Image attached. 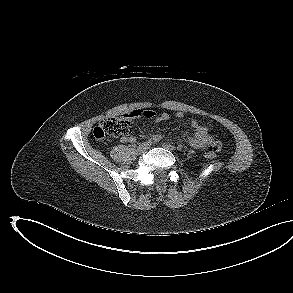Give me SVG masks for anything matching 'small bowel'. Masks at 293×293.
<instances>
[{"label": "small bowel", "mask_w": 293, "mask_h": 293, "mask_svg": "<svg viewBox=\"0 0 293 293\" xmlns=\"http://www.w3.org/2000/svg\"><path fill=\"white\" fill-rule=\"evenodd\" d=\"M140 116H144L149 119H154L155 122H164L169 120L170 118L168 113H161L159 115H156V113L152 110L141 109L133 110L125 115V117L128 119H134ZM176 117L178 119H181L183 117V114L179 112L176 114ZM191 127L193 129V132L187 135V141L192 147L197 149L210 150L213 152H216L220 149V142L214 139L209 134L208 126L200 125L196 120H192ZM121 141L124 143H134L136 139L134 136L126 135L122 136Z\"/></svg>", "instance_id": "1"}]
</instances>
